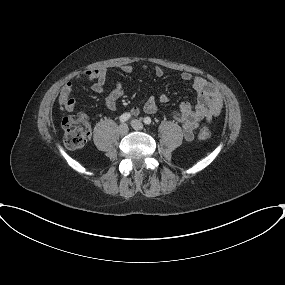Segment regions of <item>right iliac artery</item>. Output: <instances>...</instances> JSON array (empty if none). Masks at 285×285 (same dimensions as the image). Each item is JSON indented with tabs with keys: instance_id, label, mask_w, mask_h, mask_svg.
Instances as JSON below:
<instances>
[{
	"instance_id": "obj_1",
	"label": "right iliac artery",
	"mask_w": 285,
	"mask_h": 285,
	"mask_svg": "<svg viewBox=\"0 0 285 285\" xmlns=\"http://www.w3.org/2000/svg\"><path fill=\"white\" fill-rule=\"evenodd\" d=\"M131 117L130 113H124L120 116V122L124 123Z\"/></svg>"
}]
</instances>
